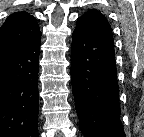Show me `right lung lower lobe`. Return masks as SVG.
Listing matches in <instances>:
<instances>
[{
    "mask_svg": "<svg viewBox=\"0 0 144 137\" xmlns=\"http://www.w3.org/2000/svg\"><path fill=\"white\" fill-rule=\"evenodd\" d=\"M40 40L0 55V137H38Z\"/></svg>",
    "mask_w": 144,
    "mask_h": 137,
    "instance_id": "right-lung-lower-lobe-1",
    "label": "right lung lower lobe"
}]
</instances>
